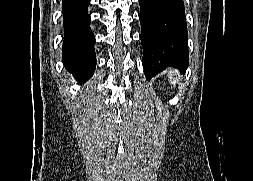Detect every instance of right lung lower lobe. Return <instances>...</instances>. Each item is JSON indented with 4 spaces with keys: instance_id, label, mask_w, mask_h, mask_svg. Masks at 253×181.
I'll use <instances>...</instances> for the list:
<instances>
[{
    "instance_id": "1",
    "label": "right lung lower lobe",
    "mask_w": 253,
    "mask_h": 181,
    "mask_svg": "<svg viewBox=\"0 0 253 181\" xmlns=\"http://www.w3.org/2000/svg\"><path fill=\"white\" fill-rule=\"evenodd\" d=\"M63 62L78 80L91 78L96 68L95 37L87 13L89 0H63Z\"/></svg>"
}]
</instances>
